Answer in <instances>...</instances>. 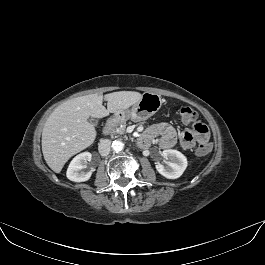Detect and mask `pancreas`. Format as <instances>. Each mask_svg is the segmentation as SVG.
Returning <instances> with one entry per match:
<instances>
[{
	"label": "pancreas",
	"mask_w": 265,
	"mask_h": 265,
	"mask_svg": "<svg viewBox=\"0 0 265 265\" xmlns=\"http://www.w3.org/2000/svg\"><path fill=\"white\" fill-rule=\"evenodd\" d=\"M126 121L118 122L111 128L112 135H123L126 133Z\"/></svg>",
	"instance_id": "cf45deb5"
}]
</instances>
